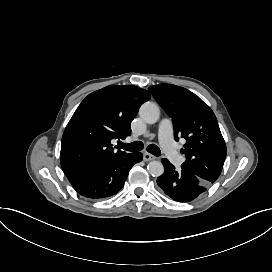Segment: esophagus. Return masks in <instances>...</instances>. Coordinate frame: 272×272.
Wrapping results in <instances>:
<instances>
[{"label": "esophagus", "mask_w": 272, "mask_h": 272, "mask_svg": "<svg viewBox=\"0 0 272 272\" xmlns=\"http://www.w3.org/2000/svg\"><path fill=\"white\" fill-rule=\"evenodd\" d=\"M156 157L148 152H144L143 153V160L144 161H151V160H155Z\"/></svg>", "instance_id": "1"}]
</instances>
